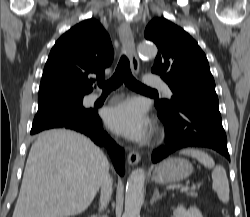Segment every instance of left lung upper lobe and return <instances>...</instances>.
<instances>
[{
	"label": "left lung upper lobe",
	"mask_w": 250,
	"mask_h": 217,
	"mask_svg": "<svg viewBox=\"0 0 250 217\" xmlns=\"http://www.w3.org/2000/svg\"><path fill=\"white\" fill-rule=\"evenodd\" d=\"M145 38L158 47L152 72L173 92L170 101H156L158 107L174 112L189 100L218 98L206 55L187 32L165 18H155L147 25Z\"/></svg>",
	"instance_id": "left-lung-upper-lobe-1"
}]
</instances>
